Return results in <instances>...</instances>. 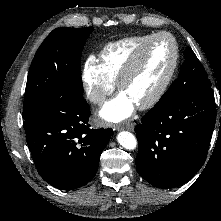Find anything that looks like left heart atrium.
Masks as SVG:
<instances>
[{
  "mask_svg": "<svg viewBox=\"0 0 221 221\" xmlns=\"http://www.w3.org/2000/svg\"><path fill=\"white\" fill-rule=\"evenodd\" d=\"M136 105L124 93L107 102L100 111V117L108 122L118 123L129 118Z\"/></svg>",
  "mask_w": 221,
  "mask_h": 221,
  "instance_id": "obj_1",
  "label": "left heart atrium"
}]
</instances>
